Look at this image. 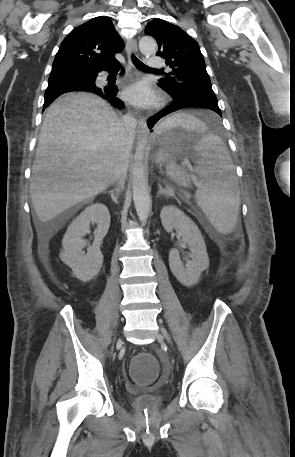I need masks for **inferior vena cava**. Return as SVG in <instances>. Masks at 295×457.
Returning a JSON list of instances; mask_svg holds the SVG:
<instances>
[{
	"label": "inferior vena cava",
	"instance_id": "inferior-vena-cava-1",
	"mask_svg": "<svg viewBox=\"0 0 295 457\" xmlns=\"http://www.w3.org/2000/svg\"><path fill=\"white\" fill-rule=\"evenodd\" d=\"M122 121L126 130L127 139L132 140L136 129V119L132 115L126 114L123 116ZM127 168V154L123 152L116 161L113 173V181L117 184L119 191L120 189H124Z\"/></svg>",
	"mask_w": 295,
	"mask_h": 457
}]
</instances>
